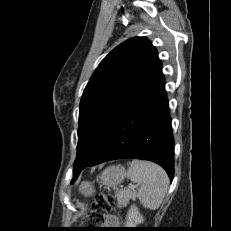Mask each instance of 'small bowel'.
I'll use <instances>...</instances> for the list:
<instances>
[{
    "label": "small bowel",
    "instance_id": "1",
    "mask_svg": "<svg viewBox=\"0 0 231 231\" xmlns=\"http://www.w3.org/2000/svg\"><path fill=\"white\" fill-rule=\"evenodd\" d=\"M118 224H119L118 217L116 215H109L107 217V220L104 226H105V229H112L113 227L118 226ZM107 231H110V230H107Z\"/></svg>",
    "mask_w": 231,
    "mask_h": 231
}]
</instances>
